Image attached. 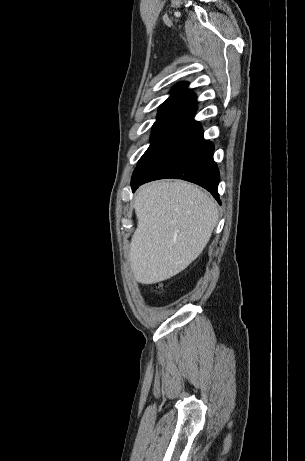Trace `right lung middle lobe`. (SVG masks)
<instances>
[{"mask_svg":"<svg viewBox=\"0 0 305 461\" xmlns=\"http://www.w3.org/2000/svg\"><path fill=\"white\" fill-rule=\"evenodd\" d=\"M186 111L187 109L179 107L159 108L157 121L154 123L152 129L151 145L141 157L139 162L167 137L174 125L186 113Z\"/></svg>","mask_w":305,"mask_h":461,"instance_id":"dd1d6c3e","label":"right lung middle lobe"}]
</instances>
